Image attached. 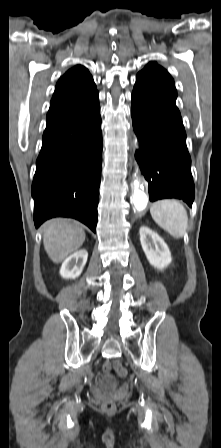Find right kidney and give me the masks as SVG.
<instances>
[{
  "label": "right kidney",
  "instance_id": "right-kidney-1",
  "mask_svg": "<svg viewBox=\"0 0 221 448\" xmlns=\"http://www.w3.org/2000/svg\"><path fill=\"white\" fill-rule=\"evenodd\" d=\"M88 257V252L85 249L76 251L63 262L60 275L66 279H75L79 277L83 271Z\"/></svg>",
  "mask_w": 221,
  "mask_h": 448
}]
</instances>
